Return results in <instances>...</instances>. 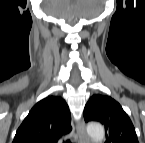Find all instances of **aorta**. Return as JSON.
Listing matches in <instances>:
<instances>
[{"label":"aorta","instance_id":"762f6f07","mask_svg":"<svg viewBox=\"0 0 145 143\" xmlns=\"http://www.w3.org/2000/svg\"><path fill=\"white\" fill-rule=\"evenodd\" d=\"M87 133L94 142H100L105 136V130L99 123H90L87 126Z\"/></svg>","mask_w":145,"mask_h":143}]
</instances>
